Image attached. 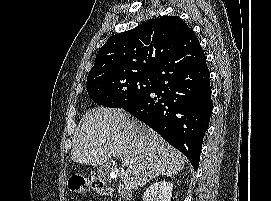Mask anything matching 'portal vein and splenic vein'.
<instances>
[{
  "mask_svg": "<svg viewBox=\"0 0 271 201\" xmlns=\"http://www.w3.org/2000/svg\"><path fill=\"white\" fill-rule=\"evenodd\" d=\"M130 162H131V161H130L129 158H124V159H123V164H124V165H129Z\"/></svg>",
  "mask_w": 271,
  "mask_h": 201,
  "instance_id": "1",
  "label": "portal vein and splenic vein"
}]
</instances>
